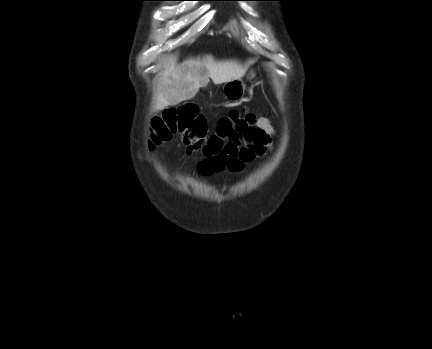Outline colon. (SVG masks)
Here are the masks:
<instances>
[{"mask_svg": "<svg viewBox=\"0 0 432 349\" xmlns=\"http://www.w3.org/2000/svg\"><path fill=\"white\" fill-rule=\"evenodd\" d=\"M257 116L248 111H231L222 117L214 134L207 135V121L194 104L167 109L151 124L150 144L158 145L180 135L188 152H202L209 162L219 165L223 157L255 124Z\"/></svg>", "mask_w": 432, "mask_h": 349, "instance_id": "obj_1", "label": "colon"}]
</instances>
